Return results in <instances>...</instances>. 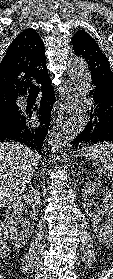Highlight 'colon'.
I'll return each mask as SVG.
<instances>
[{"instance_id": "5ec220e1", "label": "colon", "mask_w": 113, "mask_h": 279, "mask_svg": "<svg viewBox=\"0 0 113 279\" xmlns=\"http://www.w3.org/2000/svg\"><path fill=\"white\" fill-rule=\"evenodd\" d=\"M5 234L3 229L0 226V254H3L5 251Z\"/></svg>"}]
</instances>
